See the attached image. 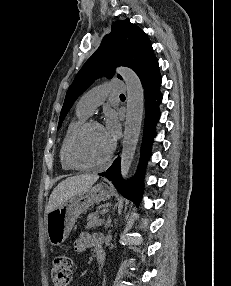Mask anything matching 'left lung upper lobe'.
Returning a JSON list of instances; mask_svg holds the SVG:
<instances>
[{"label": "left lung upper lobe", "mask_w": 231, "mask_h": 286, "mask_svg": "<svg viewBox=\"0 0 231 286\" xmlns=\"http://www.w3.org/2000/svg\"><path fill=\"white\" fill-rule=\"evenodd\" d=\"M156 59L150 40L129 19L116 21L110 34L106 35L97 51L86 61L68 89L62 107L58 129L76 99L94 82L106 76L111 78L116 66H127L138 75ZM120 77V76H118Z\"/></svg>", "instance_id": "1"}]
</instances>
